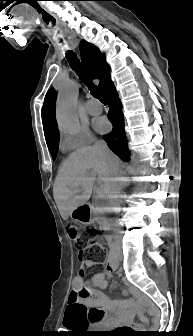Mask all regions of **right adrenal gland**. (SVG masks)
<instances>
[{
  "mask_svg": "<svg viewBox=\"0 0 193 336\" xmlns=\"http://www.w3.org/2000/svg\"><path fill=\"white\" fill-rule=\"evenodd\" d=\"M129 184H130V180H127L124 178L119 179L118 181L119 190L121 191L123 188L129 186Z\"/></svg>",
  "mask_w": 193,
  "mask_h": 336,
  "instance_id": "1",
  "label": "right adrenal gland"
}]
</instances>
